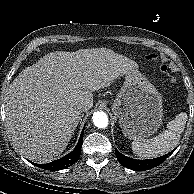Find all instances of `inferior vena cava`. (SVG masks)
Here are the masks:
<instances>
[{
  "label": "inferior vena cava",
  "mask_w": 194,
  "mask_h": 194,
  "mask_svg": "<svg viewBox=\"0 0 194 194\" xmlns=\"http://www.w3.org/2000/svg\"><path fill=\"white\" fill-rule=\"evenodd\" d=\"M76 108H77V110H78L79 112H83L84 109H85L84 105H82V104L77 105Z\"/></svg>",
  "instance_id": "602c4592"
}]
</instances>
